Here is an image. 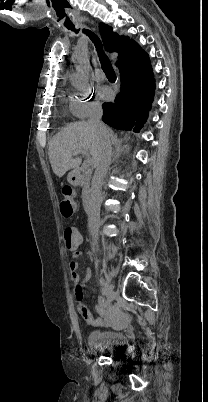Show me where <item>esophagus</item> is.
I'll list each match as a JSON object with an SVG mask.
<instances>
[{
    "label": "esophagus",
    "mask_w": 208,
    "mask_h": 402,
    "mask_svg": "<svg viewBox=\"0 0 208 402\" xmlns=\"http://www.w3.org/2000/svg\"><path fill=\"white\" fill-rule=\"evenodd\" d=\"M88 20V17H83V21H87Z\"/></svg>",
    "instance_id": "1"
}]
</instances>
